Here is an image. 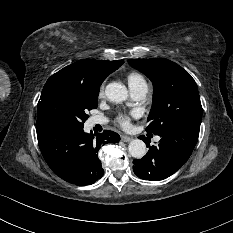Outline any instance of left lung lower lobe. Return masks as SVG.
<instances>
[{
	"mask_svg": "<svg viewBox=\"0 0 233 233\" xmlns=\"http://www.w3.org/2000/svg\"><path fill=\"white\" fill-rule=\"evenodd\" d=\"M201 120H189L160 134L157 146H150L145 136H140L149 147L142 159L133 161V171L141 179L159 181L174 174L190 157L199 136Z\"/></svg>",
	"mask_w": 233,
	"mask_h": 233,
	"instance_id": "left-lung-lower-lobe-1",
	"label": "left lung lower lobe"
}]
</instances>
